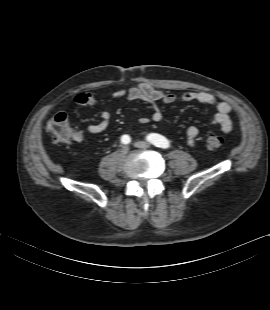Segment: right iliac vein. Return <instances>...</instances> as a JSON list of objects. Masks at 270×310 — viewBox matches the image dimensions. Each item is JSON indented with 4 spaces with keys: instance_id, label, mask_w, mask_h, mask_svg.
<instances>
[{
    "instance_id": "1",
    "label": "right iliac vein",
    "mask_w": 270,
    "mask_h": 310,
    "mask_svg": "<svg viewBox=\"0 0 270 310\" xmlns=\"http://www.w3.org/2000/svg\"><path fill=\"white\" fill-rule=\"evenodd\" d=\"M120 151L123 153V154H126L128 151H129V147L126 146V145H123L120 149Z\"/></svg>"
}]
</instances>
